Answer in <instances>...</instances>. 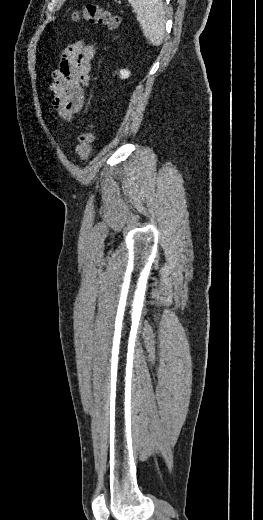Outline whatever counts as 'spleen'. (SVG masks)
<instances>
[{
  "label": "spleen",
  "instance_id": "obj_1",
  "mask_svg": "<svg viewBox=\"0 0 263 520\" xmlns=\"http://www.w3.org/2000/svg\"><path fill=\"white\" fill-rule=\"evenodd\" d=\"M137 13L143 34L153 46H160L165 36V8L163 0H128Z\"/></svg>",
  "mask_w": 263,
  "mask_h": 520
}]
</instances>
